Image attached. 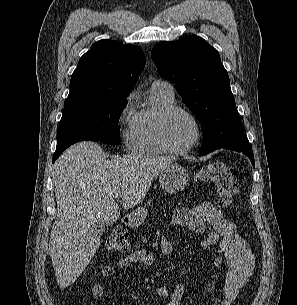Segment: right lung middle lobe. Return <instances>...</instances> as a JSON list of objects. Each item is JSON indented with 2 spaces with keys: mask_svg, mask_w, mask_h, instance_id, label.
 <instances>
[{
  "mask_svg": "<svg viewBox=\"0 0 297 305\" xmlns=\"http://www.w3.org/2000/svg\"><path fill=\"white\" fill-rule=\"evenodd\" d=\"M126 97L66 103L58 127L56 149L65 150L83 140L120 144L118 122L127 104Z\"/></svg>",
  "mask_w": 297,
  "mask_h": 305,
  "instance_id": "1",
  "label": "right lung middle lobe"
}]
</instances>
